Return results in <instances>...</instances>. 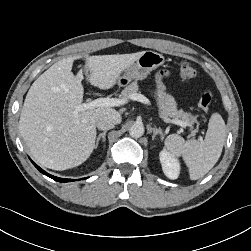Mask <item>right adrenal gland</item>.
<instances>
[{
    "label": "right adrenal gland",
    "mask_w": 251,
    "mask_h": 251,
    "mask_svg": "<svg viewBox=\"0 0 251 251\" xmlns=\"http://www.w3.org/2000/svg\"><path fill=\"white\" fill-rule=\"evenodd\" d=\"M106 133H107V131H104V132H102V133H100V134L98 135L97 140H96V144H95V149H97L98 144H99V141H100L101 139H102L103 142H105Z\"/></svg>",
    "instance_id": "obj_1"
}]
</instances>
